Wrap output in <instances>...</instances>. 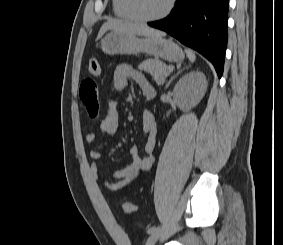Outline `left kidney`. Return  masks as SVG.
I'll return each mask as SVG.
<instances>
[{
    "label": "left kidney",
    "instance_id": "obj_1",
    "mask_svg": "<svg viewBox=\"0 0 283 245\" xmlns=\"http://www.w3.org/2000/svg\"><path fill=\"white\" fill-rule=\"evenodd\" d=\"M206 89L205 75L199 71H191L175 85L174 100L183 110H189L201 101Z\"/></svg>",
    "mask_w": 283,
    "mask_h": 245
}]
</instances>
